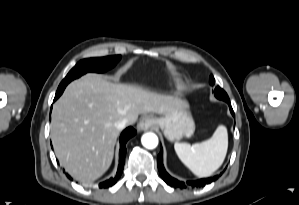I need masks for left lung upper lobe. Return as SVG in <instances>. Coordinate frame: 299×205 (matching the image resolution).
<instances>
[{
	"mask_svg": "<svg viewBox=\"0 0 299 205\" xmlns=\"http://www.w3.org/2000/svg\"><path fill=\"white\" fill-rule=\"evenodd\" d=\"M210 84L211 85L215 84V79L212 75L210 76ZM214 93H215L216 98H218V99L229 98L228 95L226 94V92L223 89H221L219 86L215 87Z\"/></svg>",
	"mask_w": 299,
	"mask_h": 205,
	"instance_id": "obj_1",
	"label": "left lung upper lobe"
}]
</instances>
